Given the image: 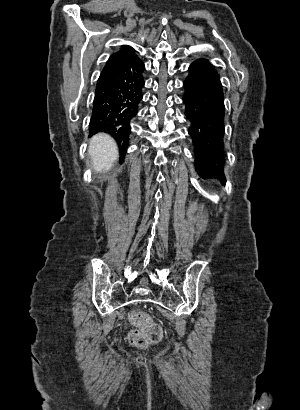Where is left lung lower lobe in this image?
I'll use <instances>...</instances> for the list:
<instances>
[{
    "instance_id": "0a47b994",
    "label": "left lung lower lobe",
    "mask_w": 300,
    "mask_h": 410,
    "mask_svg": "<svg viewBox=\"0 0 300 410\" xmlns=\"http://www.w3.org/2000/svg\"><path fill=\"white\" fill-rule=\"evenodd\" d=\"M183 86L185 115L195 152V169L204 178L225 181L224 116L225 106L219 75L207 59L189 66Z\"/></svg>"
}]
</instances>
